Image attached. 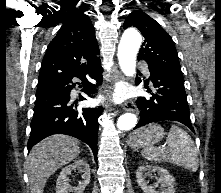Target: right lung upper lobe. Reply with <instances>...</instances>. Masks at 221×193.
<instances>
[{
	"label": "right lung upper lobe",
	"mask_w": 221,
	"mask_h": 193,
	"mask_svg": "<svg viewBox=\"0 0 221 193\" xmlns=\"http://www.w3.org/2000/svg\"><path fill=\"white\" fill-rule=\"evenodd\" d=\"M94 26L87 15L71 16L47 47L37 88L85 76L100 62Z\"/></svg>",
	"instance_id": "cb5924a9"
}]
</instances>
